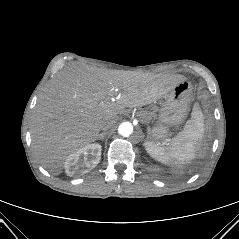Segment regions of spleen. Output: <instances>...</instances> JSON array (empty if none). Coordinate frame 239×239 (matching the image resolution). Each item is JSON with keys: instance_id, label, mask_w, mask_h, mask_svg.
I'll return each instance as SVG.
<instances>
[{"instance_id": "obj_1", "label": "spleen", "mask_w": 239, "mask_h": 239, "mask_svg": "<svg viewBox=\"0 0 239 239\" xmlns=\"http://www.w3.org/2000/svg\"><path fill=\"white\" fill-rule=\"evenodd\" d=\"M204 136V116L198 104L194 105L191 118L184 129L170 142H145V149L155 160L166 165L185 164L195 158L198 142Z\"/></svg>"}]
</instances>
